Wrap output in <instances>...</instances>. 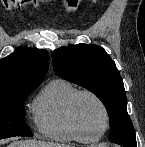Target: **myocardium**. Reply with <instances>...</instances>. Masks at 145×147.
Listing matches in <instances>:
<instances>
[{"instance_id":"f54148a6","label":"myocardium","mask_w":145,"mask_h":147,"mask_svg":"<svg viewBox=\"0 0 145 147\" xmlns=\"http://www.w3.org/2000/svg\"><path fill=\"white\" fill-rule=\"evenodd\" d=\"M84 95L90 96L99 104V106L101 107V109L104 113V117H105V125H104L103 130L97 134H94V135H90L83 130V128L80 124V121L78 119L77 113H76L77 101L81 96H84ZM68 113H69L70 120H71L73 126L75 127L76 131L79 132L80 134L84 135L88 141H94V140L100 139L101 137H103L106 134V132L108 131V129L110 127L111 118H110L109 109H108L107 105L105 104V102L103 101V99L93 91L78 90L69 101Z\"/></svg>"}]
</instances>
